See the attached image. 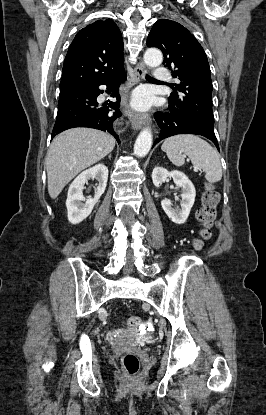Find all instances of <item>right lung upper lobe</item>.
Wrapping results in <instances>:
<instances>
[{
	"label": "right lung upper lobe",
	"instance_id": "obj_1",
	"mask_svg": "<svg viewBox=\"0 0 266 415\" xmlns=\"http://www.w3.org/2000/svg\"><path fill=\"white\" fill-rule=\"evenodd\" d=\"M123 56L122 35L112 20L87 25L68 49L60 92L116 76L124 70Z\"/></svg>",
	"mask_w": 266,
	"mask_h": 415
}]
</instances>
